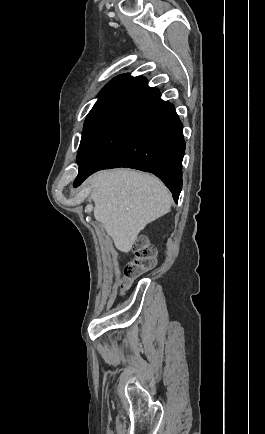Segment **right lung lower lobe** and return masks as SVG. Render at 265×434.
<instances>
[{"label":"right lung lower lobe","mask_w":265,"mask_h":434,"mask_svg":"<svg viewBox=\"0 0 265 434\" xmlns=\"http://www.w3.org/2000/svg\"><path fill=\"white\" fill-rule=\"evenodd\" d=\"M146 78L134 77L124 88L80 162L73 185L92 173L125 167L158 176L178 201L185 151L183 125L174 106L160 98Z\"/></svg>","instance_id":"obj_1"}]
</instances>
